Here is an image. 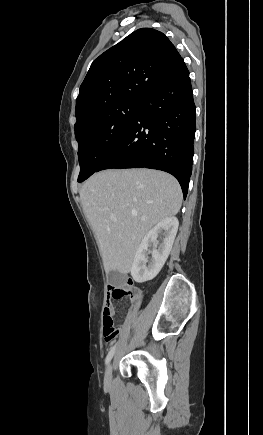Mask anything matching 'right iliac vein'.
<instances>
[{"label": "right iliac vein", "mask_w": 263, "mask_h": 435, "mask_svg": "<svg viewBox=\"0 0 263 435\" xmlns=\"http://www.w3.org/2000/svg\"><path fill=\"white\" fill-rule=\"evenodd\" d=\"M112 369H113V364L109 363L107 368H106L105 376H104V381H105L106 384H110V382H111Z\"/></svg>", "instance_id": "right-iliac-vein-1"}]
</instances>
